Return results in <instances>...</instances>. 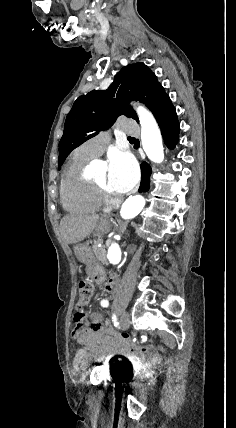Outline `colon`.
<instances>
[{"mask_svg":"<svg viewBox=\"0 0 236 428\" xmlns=\"http://www.w3.org/2000/svg\"><path fill=\"white\" fill-rule=\"evenodd\" d=\"M92 291H93V286L90 281L81 280L79 282L77 312L73 319V323H74L73 330H75L76 332H80L83 329L84 318H85L83 307L91 297ZM101 324H102V318H100L97 315H94L91 325L94 327H99L101 326Z\"/></svg>","mask_w":236,"mask_h":428,"instance_id":"1","label":"colon"}]
</instances>
